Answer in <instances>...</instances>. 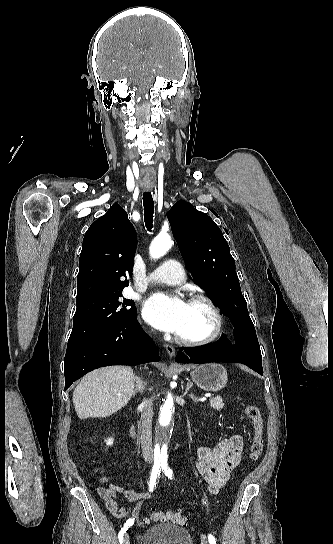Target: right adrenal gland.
<instances>
[{"mask_svg": "<svg viewBox=\"0 0 333 544\" xmlns=\"http://www.w3.org/2000/svg\"><path fill=\"white\" fill-rule=\"evenodd\" d=\"M135 381H136V386L133 392V396H135L137 392L142 393L145 388V382L139 376H135Z\"/></svg>", "mask_w": 333, "mask_h": 544, "instance_id": "obj_1", "label": "right adrenal gland"}]
</instances>
